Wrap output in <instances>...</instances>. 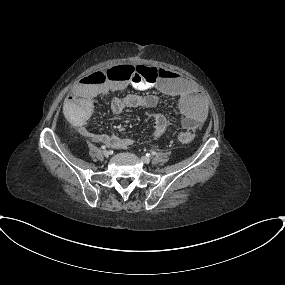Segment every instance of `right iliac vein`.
I'll return each mask as SVG.
<instances>
[{"label":"right iliac vein","instance_id":"63e3f726","mask_svg":"<svg viewBox=\"0 0 285 285\" xmlns=\"http://www.w3.org/2000/svg\"><path fill=\"white\" fill-rule=\"evenodd\" d=\"M103 155H104L105 157H109V156H110V152L107 151V150H104V151H103Z\"/></svg>","mask_w":285,"mask_h":285}]
</instances>
